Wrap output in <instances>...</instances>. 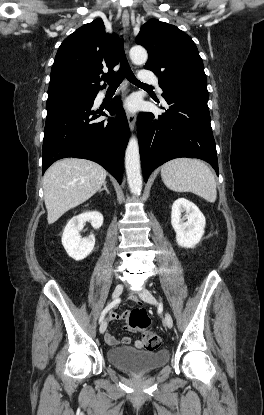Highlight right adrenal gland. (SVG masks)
<instances>
[{"label":"right adrenal gland","mask_w":264,"mask_h":415,"mask_svg":"<svg viewBox=\"0 0 264 415\" xmlns=\"http://www.w3.org/2000/svg\"><path fill=\"white\" fill-rule=\"evenodd\" d=\"M106 184H107V182H105V183L103 184V188H102V189H100V191H99V192H101V191L105 190V191L107 192V194H109V190H108V188H107Z\"/></svg>","instance_id":"2a0ac1e0"}]
</instances>
